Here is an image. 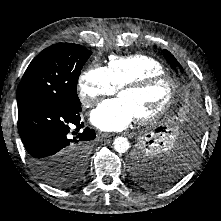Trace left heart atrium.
<instances>
[{"label": "left heart atrium", "mask_w": 221, "mask_h": 221, "mask_svg": "<svg viewBox=\"0 0 221 221\" xmlns=\"http://www.w3.org/2000/svg\"><path fill=\"white\" fill-rule=\"evenodd\" d=\"M91 122L104 131H118L126 128L135 115L122 98L109 99L101 102L90 116Z\"/></svg>", "instance_id": "left-heart-atrium-1"}]
</instances>
